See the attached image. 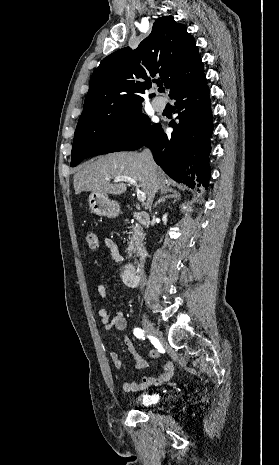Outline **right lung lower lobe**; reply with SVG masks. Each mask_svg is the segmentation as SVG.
I'll return each instance as SVG.
<instances>
[{"mask_svg": "<svg viewBox=\"0 0 279 465\" xmlns=\"http://www.w3.org/2000/svg\"><path fill=\"white\" fill-rule=\"evenodd\" d=\"M209 92L205 74L178 89L171 96L178 113L172 134L167 136L159 128L143 145L153 152L155 162L167 175L189 187H194L196 181L204 186L211 175L209 166L205 168L213 131ZM136 149L139 147L127 150Z\"/></svg>", "mask_w": 279, "mask_h": 465, "instance_id": "right-lung-lower-lobe-1", "label": "right lung lower lobe"}]
</instances>
